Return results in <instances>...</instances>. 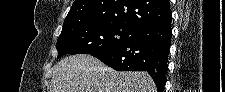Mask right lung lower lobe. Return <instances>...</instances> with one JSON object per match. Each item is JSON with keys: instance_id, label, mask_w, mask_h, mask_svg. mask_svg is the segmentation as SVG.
Returning <instances> with one entry per match:
<instances>
[{"instance_id": "obj_1", "label": "right lung lower lobe", "mask_w": 225, "mask_h": 92, "mask_svg": "<svg viewBox=\"0 0 225 92\" xmlns=\"http://www.w3.org/2000/svg\"><path fill=\"white\" fill-rule=\"evenodd\" d=\"M171 21L139 28L124 43L91 55L117 71H147L158 92H163L172 37Z\"/></svg>"}]
</instances>
